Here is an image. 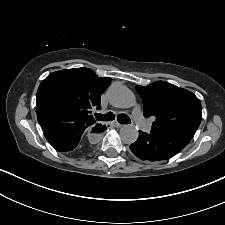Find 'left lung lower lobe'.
Returning a JSON list of instances; mask_svg holds the SVG:
<instances>
[{
    "instance_id": "0a47b994",
    "label": "left lung lower lobe",
    "mask_w": 225,
    "mask_h": 225,
    "mask_svg": "<svg viewBox=\"0 0 225 225\" xmlns=\"http://www.w3.org/2000/svg\"><path fill=\"white\" fill-rule=\"evenodd\" d=\"M192 138L183 135L157 136L140 131L130 145L132 153L146 162L167 160L188 145Z\"/></svg>"
}]
</instances>
